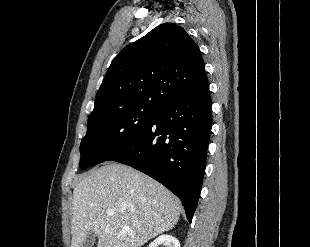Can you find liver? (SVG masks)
I'll return each instance as SVG.
<instances>
[{"label": "liver", "instance_id": "6515ba94", "mask_svg": "<svg viewBox=\"0 0 310 247\" xmlns=\"http://www.w3.org/2000/svg\"><path fill=\"white\" fill-rule=\"evenodd\" d=\"M72 204L71 247H80L89 232L98 238L97 247H141L172 229L182 207L162 184L118 163H107L81 178ZM107 210L114 214L108 216Z\"/></svg>", "mask_w": 310, "mask_h": 247}]
</instances>
